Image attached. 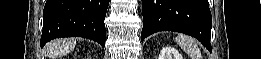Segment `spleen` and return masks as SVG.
I'll return each instance as SVG.
<instances>
[{
    "instance_id": "3e777b00",
    "label": "spleen",
    "mask_w": 261,
    "mask_h": 59,
    "mask_svg": "<svg viewBox=\"0 0 261 59\" xmlns=\"http://www.w3.org/2000/svg\"><path fill=\"white\" fill-rule=\"evenodd\" d=\"M176 41L179 46L192 58L200 59L201 51L198 48L196 41L188 36L178 35Z\"/></svg>"
}]
</instances>
